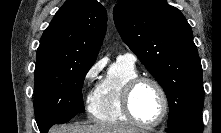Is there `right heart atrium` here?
I'll use <instances>...</instances> for the list:
<instances>
[{
  "mask_svg": "<svg viewBox=\"0 0 221 133\" xmlns=\"http://www.w3.org/2000/svg\"><path fill=\"white\" fill-rule=\"evenodd\" d=\"M101 70V65L99 63L93 64L85 73L83 78V86L88 87L98 76ZM92 97V96H91ZM90 97V100H91Z\"/></svg>",
  "mask_w": 221,
  "mask_h": 133,
  "instance_id": "1",
  "label": "right heart atrium"
}]
</instances>
